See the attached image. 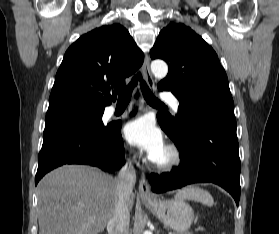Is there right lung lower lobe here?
Returning a JSON list of instances; mask_svg holds the SVG:
<instances>
[{
	"label": "right lung lower lobe",
	"instance_id": "right-lung-lower-lobe-1",
	"mask_svg": "<svg viewBox=\"0 0 279 234\" xmlns=\"http://www.w3.org/2000/svg\"><path fill=\"white\" fill-rule=\"evenodd\" d=\"M121 125V122L100 128L71 125L44 131L35 184L63 164L91 165L108 172L119 169L124 163Z\"/></svg>",
	"mask_w": 279,
	"mask_h": 234
}]
</instances>
